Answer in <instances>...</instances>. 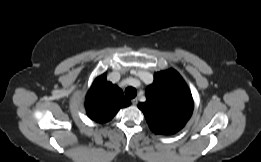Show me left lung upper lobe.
Returning a JSON list of instances; mask_svg holds the SVG:
<instances>
[{
  "label": "left lung upper lobe",
  "instance_id": "obj_1",
  "mask_svg": "<svg viewBox=\"0 0 261 162\" xmlns=\"http://www.w3.org/2000/svg\"><path fill=\"white\" fill-rule=\"evenodd\" d=\"M138 107L155 134L172 135L180 131L193 112V99L186 83L173 69L157 72L146 88V101Z\"/></svg>",
  "mask_w": 261,
  "mask_h": 162
}]
</instances>
